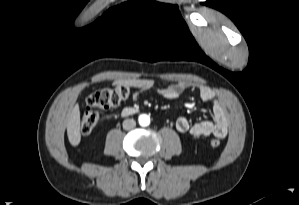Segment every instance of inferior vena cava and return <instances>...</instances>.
Masks as SVG:
<instances>
[{"mask_svg": "<svg viewBox=\"0 0 299 205\" xmlns=\"http://www.w3.org/2000/svg\"><path fill=\"white\" fill-rule=\"evenodd\" d=\"M136 126V122L134 119H125L123 121V129L125 130H132L133 128H135Z\"/></svg>", "mask_w": 299, "mask_h": 205, "instance_id": "inferior-vena-cava-1", "label": "inferior vena cava"}]
</instances>
